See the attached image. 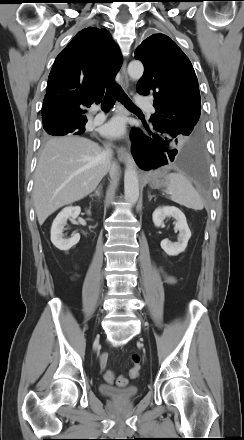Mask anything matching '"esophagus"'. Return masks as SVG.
Instances as JSON below:
<instances>
[{
    "label": "esophagus",
    "instance_id": "esophagus-1",
    "mask_svg": "<svg viewBox=\"0 0 244 440\" xmlns=\"http://www.w3.org/2000/svg\"><path fill=\"white\" fill-rule=\"evenodd\" d=\"M119 83L123 88H125V89L128 88L129 78H128V74H127L126 60L123 62V65L121 67ZM116 153H117V157L120 161H123V162L126 161V159L128 157V153L124 147H122V146L117 147Z\"/></svg>",
    "mask_w": 244,
    "mask_h": 440
}]
</instances>
